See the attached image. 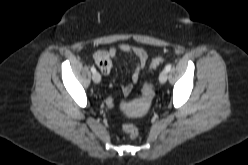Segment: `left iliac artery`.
<instances>
[{"label": "left iliac artery", "instance_id": "left-iliac-artery-1", "mask_svg": "<svg viewBox=\"0 0 248 165\" xmlns=\"http://www.w3.org/2000/svg\"><path fill=\"white\" fill-rule=\"evenodd\" d=\"M165 70H166L167 72H169V71L171 70V65L168 64V65L165 67Z\"/></svg>", "mask_w": 248, "mask_h": 165}]
</instances>
